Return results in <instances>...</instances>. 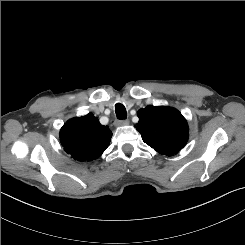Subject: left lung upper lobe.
Here are the masks:
<instances>
[{
	"mask_svg": "<svg viewBox=\"0 0 245 245\" xmlns=\"http://www.w3.org/2000/svg\"><path fill=\"white\" fill-rule=\"evenodd\" d=\"M135 126L143 141L158 153L172 156L187 143L189 128L186 119L175 108L149 105L137 113Z\"/></svg>",
	"mask_w": 245,
	"mask_h": 245,
	"instance_id": "obj_1",
	"label": "left lung upper lobe"
}]
</instances>
